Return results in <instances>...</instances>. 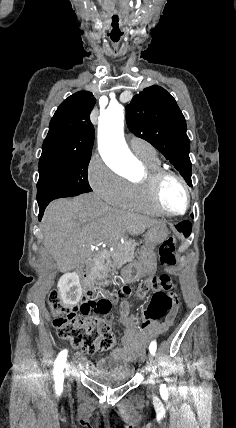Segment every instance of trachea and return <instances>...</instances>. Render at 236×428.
<instances>
[{
  "mask_svg": "<svg viewBox=\"0 0 236 428\" xmlns=\"http://www.w3.org/2000/svg\"><path fill=\"white\" fill-rule=\"evenodd\" d=\"M111 24H110V39H111V45L114 46L115 50L119 49L120 41L123 40V29L121 28L122 25V16L120 13H113L111 16Z\"/></svg>",
  "mask_w": 236,
  "mask_h": 428,
  "instance_id": "obj_1",
  "label": "trachea"
}]
</instances>
